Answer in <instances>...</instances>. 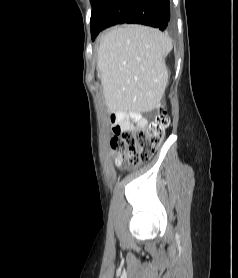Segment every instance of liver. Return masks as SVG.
<instances>
[{"label": "liver", "mask_w": 238, "mask_h": 278, "mask_svg": "<svg viewBox=\"0 0 238 278\" xmlns=\"http://www.w3.org/2000/svg\"><path fill=\"white\" fill-rule=\"evenodd\" d=\"M172 40L143 25L114 27L100 39L97 69L110 112H149L168 83L164 59Z\"/></svg>", "instance_id": "6515ba94"}]
</instances>
